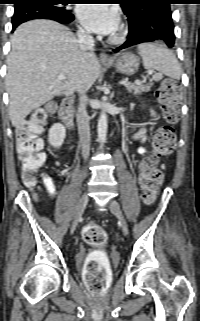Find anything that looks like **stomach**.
Listing matches in <instances>:
<instances>
[{
  "mask_svg": "<svg viewBox=\"0 0 200 321\" xmlns=\"http://www.w3.org/2000/svg\"><path fill=\"white\" fill-rule=\"evenodd\" d=\"M104 65L112 66L117 72L131 76L137 72L140 65V59L134 53L125 52L116 55L111 63H105Z\"/></svg>",
  "mask_w": 200,
  "mask_h": 321,
  "instance_id": "obj_1",
  "label": "stomach"
}]
</instances>
